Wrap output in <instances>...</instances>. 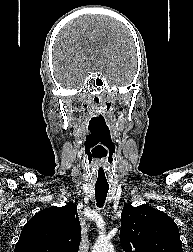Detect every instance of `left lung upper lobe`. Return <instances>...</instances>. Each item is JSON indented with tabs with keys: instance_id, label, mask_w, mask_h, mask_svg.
<instances>
[{
	"instance_id": "obj_1",
	"label": "left lung upper lobe",
	"mask_w": 193,
	"mask_h": 252,
	"mask_svg": "<svg viewBox=\"0 0 193 252\" xmlns=\"http://www.w3.org/2000/svg\"><path fill=\"white\" fill-rule=\"evenodd\" d=\"M120 243L124 252H183L175 222L148 205L123 207Z\"/></svg>"
}]
</instances>
